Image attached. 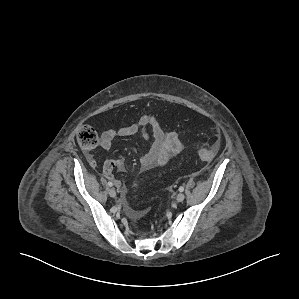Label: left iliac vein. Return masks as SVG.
<instances>
[{
  "label": "left iliac vein",
  "instance_id": "left-iliac-vein-1",
  "mask_svg": "<svg viewBox=\"0 0 299 299\" xmlns=\"http://www.w3.org/2000/svg\"><path fill=\"white\" fill-rule=\"evenodd\" d=\"M185 199V195L183 193H179L177 196H176V200L178 202H182L183 200Z\"/></svg>",
  "mask_w": 299,
  "mask_h": 299
}]
</instances>
